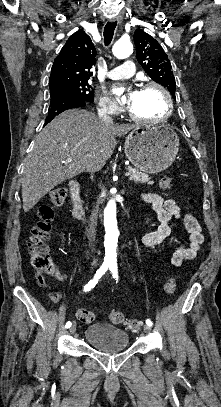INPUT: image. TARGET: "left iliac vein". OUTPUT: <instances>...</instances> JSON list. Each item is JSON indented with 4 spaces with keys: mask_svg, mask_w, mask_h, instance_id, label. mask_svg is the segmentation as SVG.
<instances>
[{
    "mask_svg": "<svg viewBox=\"0 0 221 407\" xmlns=\"http://www.w3.org/2000/svg\"><path fill=\"white\" fill-rule=\"evenodd\" d=\"M143 329H144V331H145L146 333H151V331H152L151 326H149V325H147V324H145V325L143 326Z\"/></svg>",
    "mask_w": 221,
    "mask_h": 407,
    "instance_id": "obj_1",
    "label": "left iliac vein"
}]
</instances>
